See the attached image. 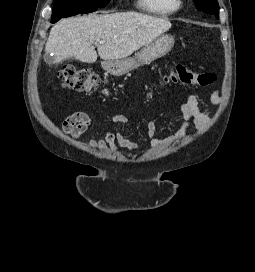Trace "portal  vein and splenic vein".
<instances>
[{
	"label": "portal vein and splenic vein",
	"instance_id": "portal-vein-and-splenic-vein-1",
	"mask_svg": "<svg viewBox=\"0 0 255 272\" xmlns=\"http://www.w3.org/2000/svg\"><path fill=\"white\" fill-rule=\"evenodd\" d=\"M99 44H103L105 41L104 40H98L97 41Z\"/></svg>",
	"mask_w": 255,
	"mask_h": 272
}]
</instances>
